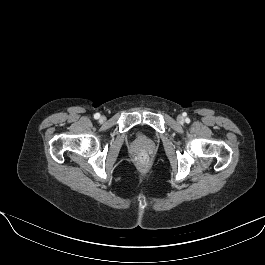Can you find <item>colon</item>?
Wrapping results in <instances>:
<instances>
[{
	"instance_id": "obj_1",
	"label": "colon",
	"mask_w": 265,
	"mask_h": 265,
	"mask_svg": "<svg viewBox=\"0 0 265 265\" xmlns=\"http://www.w3.org/2000/svg\"><path fill=\"white\" fill-rule=\"evenodd\" d=\"M139 161L141 162V163H143V162H145L146 161V157L145 156H140L139 157Z\"/></svg>"
}]
</instances>
